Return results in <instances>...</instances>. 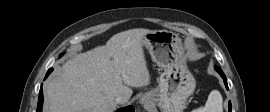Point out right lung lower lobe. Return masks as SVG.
<instances>
[{"mask_svg": "<svg viewBox=\"0 0 270 112\" xmlns=\"http://www.w3.org/2000/svg\"><path fill=\"white\" fill-rule=\"evenodd\" d=\"M53 71V68H50L47 71L46 77L49 76V74ZM42 104H43V93H42V87L40 88L39 92V98H38V104H37V112H42ZM116 112H134V108L132 106H128L123 109H119Z\"/></svg>", "mask_w": 270, "mask_h": 112, "instance_id": "98d812e1", "label": "right lung lower lobe"}]
</instances>
